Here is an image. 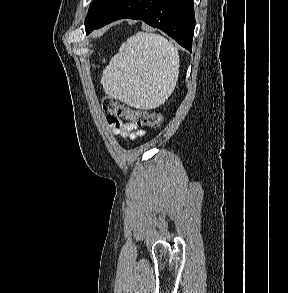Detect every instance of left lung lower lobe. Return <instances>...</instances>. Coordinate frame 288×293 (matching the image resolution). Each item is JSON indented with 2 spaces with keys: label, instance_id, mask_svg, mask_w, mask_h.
Here are the masks:
<instances>
[{
  "label": "left lung lower lobe",
  "instance_id": "obj_1",
  "mask_svg": "<svg viewBox=\"0 0 288 293\" xmlns=\"http://www.w3.org/2000/svg\"><path fill=\"white\" fill-rule=\"evenodd\" d=\"M130 18L159 28L191 52L195 28L193 0H119L92 28Z\"/></svg>",
  "mask_w": 288,
  "mask_h": 293
}]
</instances>
